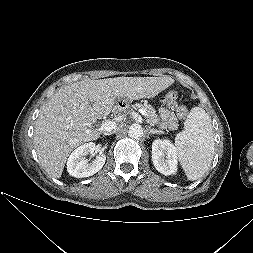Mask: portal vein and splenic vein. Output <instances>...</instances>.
<instances>
[{
    "mask_svg": "<svg viewBox=\"0 0 253 253\" xmlns=\"http://www.w3.org/2000/svg\"><path fill=\"white\" fill-rule=\"evenodd\" d=\"M139 112L143 115L146 116V111L144 109H139ZM116 127V123L112 121H106L101 125V130L104 131H111Z\"/></svg>",
    "mask_w": 253,
    "mask_h": 253,
    "instance_id": "18ae733b",
    "label": "portal vein and splenic vein"
}]
</instances>
